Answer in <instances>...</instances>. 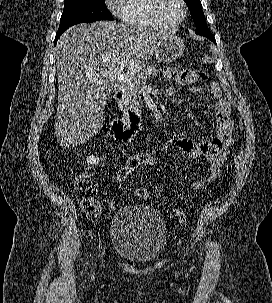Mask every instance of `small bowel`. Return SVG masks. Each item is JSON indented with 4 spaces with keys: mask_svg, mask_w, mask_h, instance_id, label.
I'll list each match as a JSON object with an SVG mask.
<instances>
[{
    "mask_svg": "<svg viewBox=\"0 0 272 303\" xmlns=\"http://www.w3.org/2000/svg\"><path fill=\"white\" fill-rule=\"evenodd\" d=\"M164 77L167 80L176 81L183 85H194L207 78L202 72L178 70L176 68H168L164 72ZM209 89L212 96L218 99L214 106V135L204 139L171 137L165 140L160 146L163 151L177 149L187 156H201L208 161V174L191 183V188L194 190L203 189L208 183L215 181L220 176L223 164L228 157L229 148L234 141L233 120L231 118L229 103L222 97V90L218 83L211 82ZM176 187L180 188L182 184H177Z\"/></svg>",
    "mask_w": 272,
    "mask_h": 303,
    "instance_id": "small-bowel-1",
    "label": "small bowel"
}]
</instances>
